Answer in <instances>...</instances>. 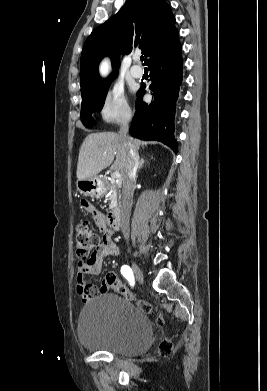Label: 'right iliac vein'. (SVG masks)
<instances>
[{"mask_svg":"<svg viewBox=\"0 0 267 391\" xmlns=\"http://www.w3.org/2000/svg\"><path fill=\"white\" fill-rule=\"evenodd\" d=\"M132 269H133V272H134V275H135L136 279H137L140 283H143V282H144V275H143V272H142V270L140 269V267H139L135 262L132 263Z\"/></svg>","mask_w":267,"mask_h":391,"instance_id":"63e3f726","label":"right iliac vein"}]
</instances>
